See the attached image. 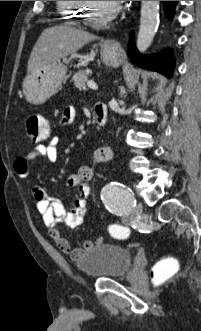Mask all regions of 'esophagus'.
<instances>
[{
  "instance_id": "1",
  "label": "esophagus",
  "mask_w": 201,
  "mask_h": 331,
  "mask_svg": "<svg viewBox=\"0 0 201 331\" xmlns=\"http://www.w3.org/2000/svg\"><path fill=\"white\" fill-rule=\"evenodd\" d=\"M106 46L114 51H121L122 50V46L118 41L115 40H108L106 41Z\"/></svg>"
}]
</instances>
